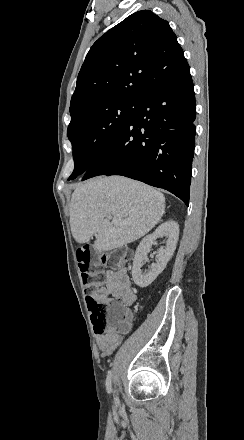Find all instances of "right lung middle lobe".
Masks as SVG:
<instances>
[{"instance_id":"right-lung-middle-lobe-1","label":"right lung middle lobe","mask_w":244,"mask_h":440,"mask_svg":"<svg viewBox=\"0 0 244 440\" xmlns=\"http://www.w3.org/2000/svg\"><path fill=\"white\" fill-rule=\"evenodd\" d=\"M140 98H107L70 110L67 135L75 167L69 180L83 175L126 127Z\"/></svg>"}]
</instances>
